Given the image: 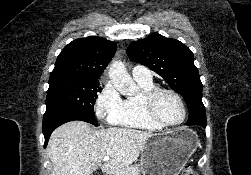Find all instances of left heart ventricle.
I'll return each mask as SVG.
<instances>
[{
    "mask_svg": "<svg viewBox=\"0 0 251 175\" xmlns=\"http://www.w3.org/2000/svg\"><path fill=\"white\" fill-rule=\"evenodd\" d=\"M155 111L169 125H177L183 119V108L177 97L170 92L160 93L155 100Z\"/></svg>",
    "mask_w": 251,
    "mask_h": 175,
    "instance_id": "1",
    "label": "left heart ventricle"
}]
</instances>
